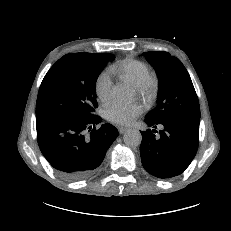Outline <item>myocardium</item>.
<instances>
[{
    "label": "myocardium",
    "mask_w": 231,
    "mask_h": 231,
    "mask_svg": "<svg viewBox=\"0 0 231 231\" xmlns=\"http://www.w3.org/2000/svg\"><path fill=\"white\" fill-rule=\"evenodd\" d=\"M137 93L148 103H152L158 94L159 76L155 71H148L135 85Z\"/></svg>",
    "instance_id": "1"
}]
</instances>
